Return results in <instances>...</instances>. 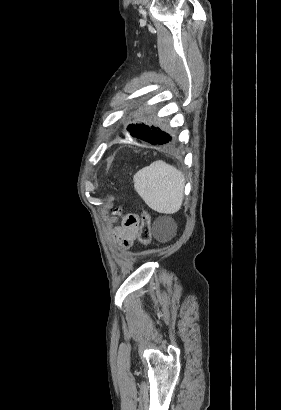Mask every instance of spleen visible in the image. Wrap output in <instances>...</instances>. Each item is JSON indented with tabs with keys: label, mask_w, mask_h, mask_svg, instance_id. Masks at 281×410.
<instances>
[{
	"label": "spleen",
	"mask_w": 281,
	"mask_h": 410,
	"mask_svg": "<svg viewBox=\"0 0 281 410\" xmlns=\"http://www.w3.org/2000/svg\"><path fill=\"white\" fill-rule=\"evenodd\" d=\"M134 188L144 202L163 214H174L182 206L185 178L181 171L162 160L139 170L133 177Z\"/></svg>",
	"instance_id": "1"
}]
</instances>
